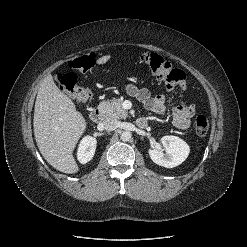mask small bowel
I'll return each mask as SVG.
<instances>
[{
  "instance_id": "small-bowel-1",
  "label": "small bowel",
  "mask_w": 247,
  "mask_h": 247,
  "mask_svg": "<svg viewBox=\"0 0 247 247\" xmlns=\"http://www.w3.org/2000/svg\"><path fill=\"white\" fill-rule=\"evenodd\" d=\"M175 86H178L181 90L186 89L184 80L175 85L168 86V88L171 90ZM126 91L130 96L138 99L143 106L151 112L163 114L171 110L173 113V123L178 129L187 130L190 128L191 119L196 112L195 104H187L181 101L178 105H171L167 102L164 95H152L147 88H138L133 84H128Z\"/></svg>"
}]
</instances>
